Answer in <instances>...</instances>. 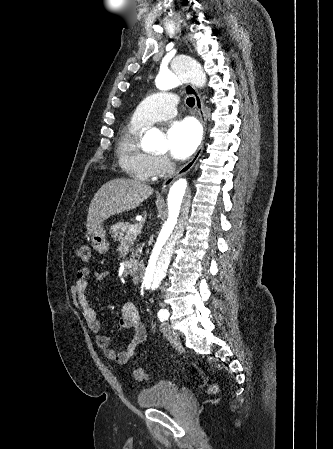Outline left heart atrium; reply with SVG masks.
<instances>
[{
    "mask_svg": "<svg viewBox=\"0 0 333 449\" xmlns=\"http://www.w3.org/2000/svg\"><path fill=\"white\" fill-rule=\"evenodd\" d=\"M169 152L177 160L190 157L201 141V130L192 119L173 122L168 131Z\"/></svg>",
    "mask_w": 333,
    "mask_h": 449,
    "instance_id": "39dd6f15",
    "label": "left heart atrium"
}]
</instances>
